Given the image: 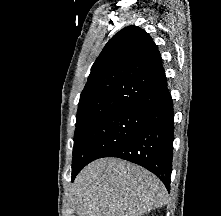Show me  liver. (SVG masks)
I'll use <instances>...</instances> for the list:
<instances>
[{"label": "liver", "mask_w": 221, "mask_h": 216, "mask_svg": "<svg viewBox=\"0 0 221 216\" xmlns=\"http://www.w3.org/2000/svg\"><path fill=\"white\" fill-rule=\"evenodd\" d=\"M78 216H142L167 203L163 183L148 170L118 158L87 165L74 182Z\"/></svg>", "instance_id": "1"}]
</instances>
